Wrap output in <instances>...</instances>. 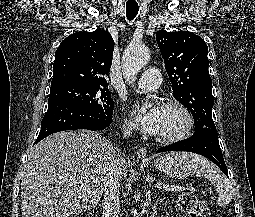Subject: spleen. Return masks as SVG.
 <instances>
[{
  "label": "spleen",
  "mask_w": 255,
  "mask_h": 217,
  "mask_svg": "<svg viewBox=\"0 0 255 217\" xmlns=\"http://www.w3.org/2000/svg\"><path fill=\"white\" fill-rule=\"evenodd\" d=\"M179 155L192 165L193 171L196 174L207 178L215 186L219 194V206H227L232 199V184L220 170L202 156L187 152L179 153Z\"/></svg>",
  "instance_id": "obj_1"
}]
</instances>
